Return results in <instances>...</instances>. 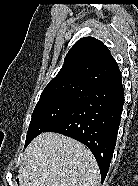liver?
<instances>
[{
  "mask_svg": "<svg viewBox=\"0 0 138 186\" xmlns=\"http://www.w3.org/2000/svg\"><path fill=\"white\" fill-rule=\"evenodd\" d=\"M20 186H100L91 151L59 133L37 136L26 148L18 170Z\"/></svg>",
  "mask_w": 138,
  "mask_h": 186,
  "instance_id": "liver-1",
  "label": "liver"
}]
</instances>
